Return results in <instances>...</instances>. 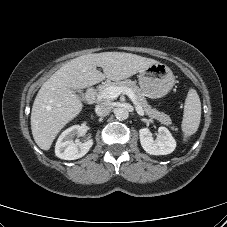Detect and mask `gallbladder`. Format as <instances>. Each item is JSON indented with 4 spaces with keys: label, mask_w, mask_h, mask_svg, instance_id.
I'll list each match as a JSON object with an SVG mask.
<instances>
[{
    "label": "gallbladder",
    "mask_w": 227,
    "mask_h": 227,
    "mask_svg": "<svg viewBox=\"0 0 227 227\" xmlns=\"http://www.w3.org/2000/svg\"><path fill=\"white\" fill-rule=\"evenodd\" d=\"M74 93H75L78 97L83 96V93H82L81 90H75Z\"/></svg>",
    "instance_id": "gallbladder-1"
}]
</instances>
